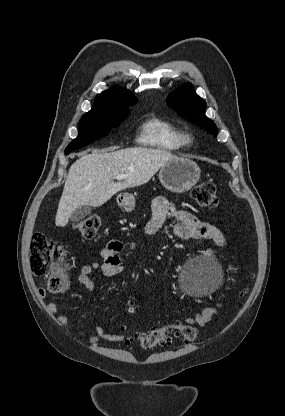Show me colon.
I'll return each instance as SVG.
<instances>
[{"mask_svg": "<svg viewBox=\"0 0 285 416\" xmlns=\"http://www.w3.org/2000/svg\"><path fill=\"white\" fill-rule=\"evenodd\" d=\"M192 198L201 208H212L217 205L216 187L211 182L198 184L192 190ZM101 225L97 216H88L73 224L74 230L84 240H92ZM66 252L62 245L48 239L41 233L32 237L30 247L31 270L35 276L48 275L47 289L50 292H61L68 281V266L65 264ZM133 301H130V305ZM197 338L194 327L174 323L147 331L135 332L128 342H135L143 349H154L170 345L174 340L183 343L193 342Z\"/></svg>", "mask_w": 285, "mask_h": 416, "instance_id": "5ec220e1", "label": "colon"}]
</instances>
